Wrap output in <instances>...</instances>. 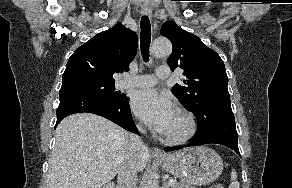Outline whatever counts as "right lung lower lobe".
<instances>
[{
  "mask_svg": "<svg viewBox=\"0 0 292 188\" xmlns=\"http://www.w3.org/2000/svg\"><path fill=\"white\" fill-rule=\"evenodd\" d=\"M59 98L56 126L71 114L88 112L105 117L128 131L138 133L132 119L128 97L121 103L112 104L84 91L66 90L59 92Z\"/></svg>",
  "mask_w": 292,
  "mask_h": 188,
  "instance_id": "obj_1",
  "label": "right lung lower lobe"
}]
</instances>
